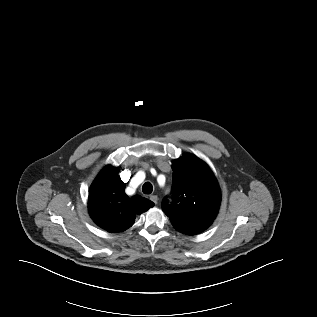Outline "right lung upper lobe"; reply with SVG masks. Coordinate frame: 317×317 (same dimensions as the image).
Instances as JSON below:
<instances>
[{"label": "right lung upper lobe", "instance_id": "right-lung-upper-lobe-1", "mask_svg": "<svg viewBox=\"0 0 317 317\" xmlns=\"http://www.w3.org/2000/svg\"><path fill=\"white\" fill-rule=\"evenodd\" d=\"M118 169L107 165L96 177L89 191L88 208L93 221L108 232L130 228L137 214L153 207V202L140 196L129 198Z\"/></svg>", "mask_w": 317, "mask_h": 317}]
</instances>
